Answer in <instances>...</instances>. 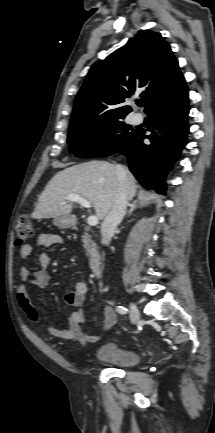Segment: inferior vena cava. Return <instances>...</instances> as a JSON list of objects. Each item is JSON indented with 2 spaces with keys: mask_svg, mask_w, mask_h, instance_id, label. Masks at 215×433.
<instances>
[{
  "mask_svg": "<svg viewBox=\"0 0 215 433\" xmlns=\"http://www.w3.org/2000/svg\"><path fill=\"white\" fill-rule=\"evenodd\" d=\"M116 171L119 180V188L115 194L111 208L101 224L102 242L105 245H109L116 227L121 223L126 214V208L128 205V198L124 184L125 169L120 165H116Z\"/></svg>",
  "mask_w": 215,
  "mask_h": 433,
  "instance_id": "inferior-vena-cava-1",
  "label": "inferior vena cava"
}]
</instances>
